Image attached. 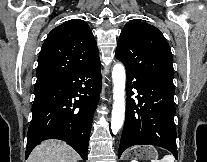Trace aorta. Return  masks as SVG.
<instances>
[{"label": "aorta", "instance_id": "aorta-1", "mask_svg": "<svg viewBox=\"0 0 207 162\" xmlns=\"http://www.w3.org/2000/svg\"><path fill=\"white\" fill-rule=\"evenodd\" d=\"M113 79V109L111 119V129L113 134H117L121 129L125 116V68L121 63H117L112 71Z\"/></svg>", "mask_w": 207, "mask_h": 162}]
</instances>
